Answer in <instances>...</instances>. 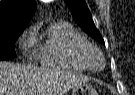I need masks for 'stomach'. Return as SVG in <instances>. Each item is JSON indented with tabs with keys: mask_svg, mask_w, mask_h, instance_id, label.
Returning <instances> with one entry per match:
<instances>
[{
	"mask_svg": "<svg viewBox=\"0 0 135 95\" xmlns=\"http://www.w3.org/2000/svg\"><path fill=\"white\" fill-rule=\"evenodd\" d=\"M71 95H98V94L96 89L92 85L84 83L79 87L73 88Z\"/></svg>",
	"mask_w": 135,
	"mask_h": 95,
	"instance_id": "obj_1",
	"label": "stomach"
}]
</instances>
